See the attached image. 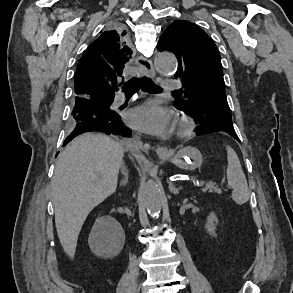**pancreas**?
Segmentation results:
<instances>
[{
    "mask_svg": "<svg viewBox=\"0 0 293 293\" xmlns=\"http://www.w3.org/2000/svg\"><path fill=\"white\" fill-rule=\"evenodd\" d=\"M203 192H208V193H217L221 194V190L218 188L216 183L214 182H209L205 185L204 188L201 189Z\"/></svg>",
    "mask_w": 293,
    "mask_h": 293,
    "instance_id": "pancreas-1",
    "label": "pancreas"
}]
</instances>
